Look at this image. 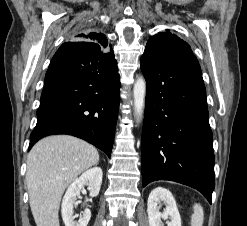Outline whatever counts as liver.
<instances>
[{"label":"liver","instance_id":"6515ba94","mask_svg":"<svg viewBox=\"0 0 247 226\" xmlns=\"http://www.w3.org/2000/svg\"><path fill=\"white\" fill-rule=\"evenodd\" d=\"M98 161L95 147L69 135L46 137L34 145L27 158L26 183L37 226H59L65 189Z\"/></svg>","mask_w":247,"mask_h":226}]
</instances>
